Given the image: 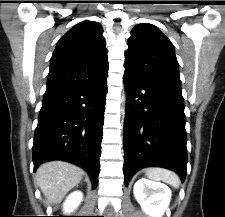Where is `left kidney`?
<instances>
[{"mask_svg": "<svg viewBox=\"0 0 225 217\" xmlns=\"http://www.w3.org/2000/svg\"><path fill=\"white\" fill-rule=\"evenodd\" d=\"M142 210L151 217H162L171 199L170 188L146 178L139 179L133 188Z\"/></svg>", "mask_w": 225, "mask_h": 217, "instance_id": "left-kidney-1", "label": "left kidney"}]
</instances>
